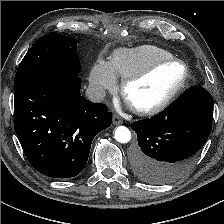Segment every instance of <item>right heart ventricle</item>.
<instances>
[{
  "mask_svg": "<svg viewBox=\"0 0 224 224\" xmlns=\"http://www.w3.org/2000/svg\"><path fill=\"white\" fill-rule=\"evenodd\" d=\"M173 55L155 45H141L134 48H121L113 52L109 63L113 73L122 79L142 70L155 60Z\"/></svg>",
  "mask_w": 224,
  "mask_h": 224,
  "instance_id": "e07e8e85",
  "label": "right heart ventricle"
}]
</instances>
